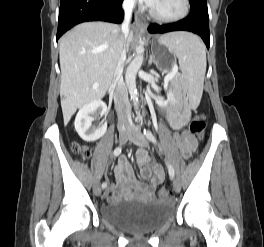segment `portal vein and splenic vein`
I'll list each match as a JSON object with an SVG mask.
<instances>
[{
    "mask_svg": "<svg viewBox=\"0 0 264 247\" xmlns=\"http://www.w3.org/2000/svg\"><path fill=\"white\" fill-rule=\"evenodd\" d=\"M177 71H178V67H177V65H174L173 68H172V70H171V72H169L165 76V80L168 81V80L172 79L175 76V74L177 73Z\"/></svg>",
    "mask_w": 264,
    "mask_h": 247,
    "instance_id": "portal-vein-and-splenic-vein-1",
    "label": "portal vein and splenic vein"
}]
</instances>
